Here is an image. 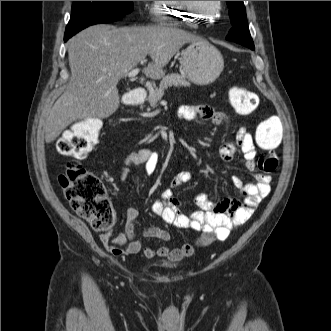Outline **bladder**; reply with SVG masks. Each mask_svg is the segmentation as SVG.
Masks as SVG:
<instances>
[{
	"label": "bladder",
	"mask_w": 331,
	"mask_h": 331,
	"mask_svg": "<svg viewBox=\"0 0 331 331\" xmlns=\"http://www.w3.org/2000/svg\"><path fill=\"white\" fill-rule=\"evenodd\" d=\"M159 264L161 265V266H164V267H174V266H176V264L174 263V262H171V261H168V260H161L160 262H159Z\"/></svg>",
	"instance_id": "1"
}]
</instances>
